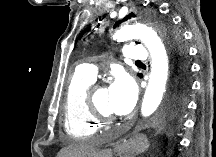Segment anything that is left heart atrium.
I'll return each instance as SVG.
<instances>
[{"mask_svg": "<svg viewBox=\"0 0 216 157\" xmlns=\"http://www.w3.org/2000/svg\"><path fill=\"white\" fill-rule=\"evenodd\" d=\"M109 108L116 115H126L134 107L137 89L129 76L118 73L108 88Z\"/></svg>", "mask_w": 216, "mask_h": 157, "instance_id": "1", "label": "left heart atrium"}]
</instances>
